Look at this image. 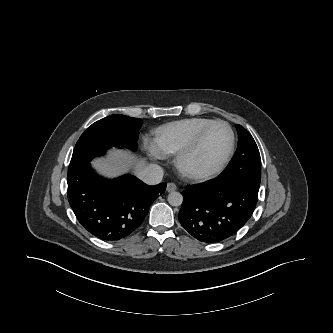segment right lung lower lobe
I'll list each match as a JSON object with an SVG mask.
<instances>
[{
	"label": "right lung lower lobe",
	"mask_w": 333,
	"mask_h": 333,
	"mask_svg": "<svg viewBox=\"0 0 333 333\" xmlns=\"http://www.w3.org/2000/svg\"><path fill=\"white\" fill-rule=\"evenodd\" d=\"M68 201L79 223L104 241L130 235L143 222L166 183L148 186L132 175L116 179L99 176L90 163L68 173Z\"/></svg>",
	"instance_id": "98d812e1"
}]
</instances>
